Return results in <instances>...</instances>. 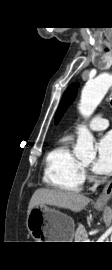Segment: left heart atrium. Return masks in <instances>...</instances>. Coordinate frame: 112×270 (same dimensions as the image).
I'll return each mask as SVG.
<instances>
[{
    "instance_id": "39dd6f15",
    "label": "left heart atrium",
    "mask_w": 112,
    "mask_h": 270,
    "mask_svg": "<svg viewBox=\"0 0 112 270\" xmlns=\"http://www.w3.org/2000/svg\"><path fill=\"white\" fill-rule=\"evenodd\" d=\"M93 170L98 174H108L112 171V132L105 134L99 140Z\"/></svg>"
}]
</instances>
